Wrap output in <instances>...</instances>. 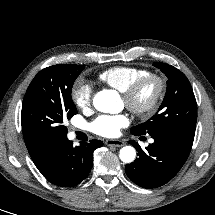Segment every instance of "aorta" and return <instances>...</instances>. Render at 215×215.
Masks as SVG:
<instances>
[{
    "label": "aorta",
    "mask_w": 215,
    "mask_h": 215,
    "mask_svg": "<svg viewBox=\"0 0 215 215\" xmlns=\"http://www.w3.org/2000/svg\"><path fill=\"white\" fill-rule=\"evenodd\" d=\"M94 107L104 113H117L121 109V100L119 94L115 90H102L93 98ZM136 151L132 146L121 148L119 157L125 163L134 161Z\"/></svg>",
    "instance_id": "obj_1"
}]
</instances>
